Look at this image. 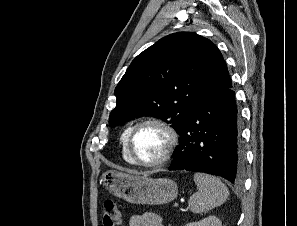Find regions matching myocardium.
I'll return each instance as SVG.
<instances>
[{
	"label": "myocardium",
	"mask_w": 297,
	"mask_h": 226,
	"mask_svg": "<svg viewBox=\"0 0 297 226\" xmlns=\"http://www.w3.org/2000/svg\"><path fill=\"white\" fill-rule=\"evenodd\" d=\"M145 125H154L159 127L167 135V143L162 154L155 160L145 162L137 158L133 150V138L136 131ZM179 142V135L176 129L166 120L158 117L144 118L136 122L129 130L126 139V148L132 162L144 168H155L164 165L171 158Z\"/></svg>",
	"instance_id": "f54148a6"
}]
</instances>
